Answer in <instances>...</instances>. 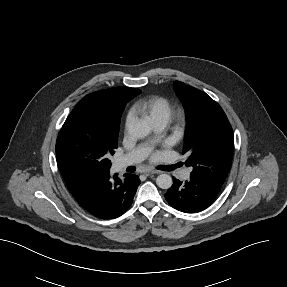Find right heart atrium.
<instances>
[{
	"mask_svg": "<svg viewBox=\"0 0 287 287\" xmlns=\"http://www.w3.org/2000/svg\"><path fill=\"white\" fill-rule=\"evenodd\" d=\"M134 122V113L130 111L125 119V129L128 130Z\"/></svg>",
	"mask_w": 287,
	"mask_h": 287,
	"instance_id": "1",
	"label": "right heart atrium"
}]
</instances>
